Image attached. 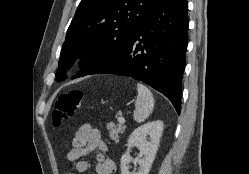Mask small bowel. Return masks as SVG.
Returning <instances> with one entry per match:
<instances>
[{"mask_svg": "<svg viewBox=\"0 0 249 174\" xmlns=\"http://www.w3.org/2000/svg\"><path fill=\"white\" fill-rule=\"evenodd\" d=\"M108 145L102 139L101 133L91 124H83L72 138V148L67 153V159L75 162V169L79 173L92 168L97 174H115L117 167L115 162L107 157ZM93 155L94 161L81 160V158ZM67 174H74L68 172Z\"/></svg>", "mask_w": 249, "mask_h": 174, "instance_id": "1", "label": "small bowel"}]
</instances>
